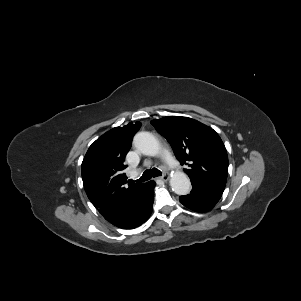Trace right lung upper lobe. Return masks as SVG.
<instances>
[{
  "instance_id": "obj_1",
  "label": "right lung upper lobe",
  "mask_w": 301,
  "mask_h": 301,
  "mask_svg": "<svg viewBox=\"0 0 301 301\" xmlns=\"http://www.w3.org/2000/svg\"><path fill=\"white\" fill-rule=\"evenodd\" d=\"M140 122H130L103 134L89 147L81 166L86 194L100 214L113 225L128 213L143 183L126 185L122 170Z\"/></svg>"
}]
</instances>
